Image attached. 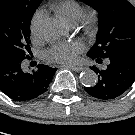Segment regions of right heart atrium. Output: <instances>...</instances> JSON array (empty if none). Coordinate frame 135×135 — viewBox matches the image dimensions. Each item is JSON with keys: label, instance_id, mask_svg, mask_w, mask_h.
Returning <instances> with one entry per match:
<instances>
[{"label": "right heart atrium", "instance_id": "d8ad5b80", "mask_svg": "<svg viewBox=\"0 0 135 135\" xmlns=\"http://www.w3.org/2000/svg\"><path fill=\"white\" fill-rule=\"evenodd\" d=\"M44 11L43 10H37L30 21V34L33 38H38L40 35V27H41V23L43 21L44 18Z\"/></svg>", "mask_w": 135, "mask_h": 135}]
</instances>
